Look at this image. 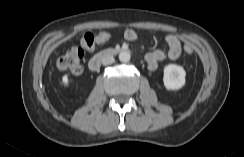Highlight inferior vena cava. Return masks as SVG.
Returning <instances> with one entry per match:
<instances>
[{
    "instance_id": "inferior-vena-cava-1",
    "label": "inferior vena cava",
    "mask_w": 244,
    "mask_h": 157,
    "mask_svg": "<svg viewBox=\"0 0 244 157\" xmlns=\"http://www.w3.org/2000/svg\"><path fill=\"white\" fill-rule=\"evenodd\" d=\"M115 59L112 55H105L103 58H102V64L103 65H110L112 63H114Z\"/></svg>"
}]
</instances>
